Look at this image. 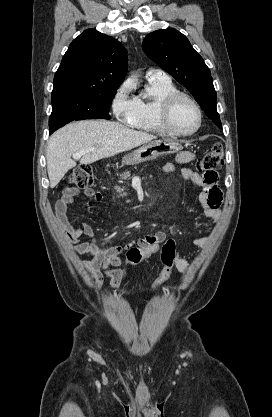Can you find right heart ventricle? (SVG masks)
<instances>
[{"label": "right heart ventricle", "mask_w": 272, "mask_h": 417, "mask_svg": "<svg viewBox=\"0 0 272 417\" xmlns=\"http://www.w3.org/2000/svg\"><path fill=\"white\" fill-rule=\"evenodd\" d=\"M177 91L176 86L170 79L155 80L148 78L142 94L135 99L136 110L129 125L138 130L164 136L168 135L160 125L158 110L162 100Z\"/></svg>", "instance_id": "e07e8e85"}]
</instances>
